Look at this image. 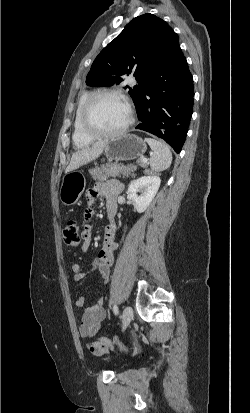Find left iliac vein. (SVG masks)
<instances>
[{"instance_id":"obj_1","label":"left iliac vein","mask_w":250,"mask_h":413,"mask_svg":"<svg viewBox=\"0 0 250 413\" xmlns=\"http://www.w3.org/2000/svg\"><path fill=\"white\" fill-rule=\"evenodd\" d=\"M133 318V309L130 306L125 307L122 314L123 329H125Z\"/></svg>"}]
</instances>
